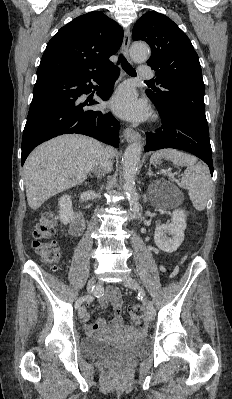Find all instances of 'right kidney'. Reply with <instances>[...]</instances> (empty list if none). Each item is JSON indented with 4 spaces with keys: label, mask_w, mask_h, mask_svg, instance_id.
Returning <instances> with one entry per match:
<instances>
[{
    "label": "right kidney",
    "mask_w": 232,
    "mask_h": 399,
    "mask_svg": "<svg viewBox=\"0 0 232 399\" xmlns=\"http://www.w3.org/2000/svg\"><path fill=\"white\" fill-rule=\"evenodd\" d=\"M59 215L62 223H70L73 217V207L71 196H62L59 200Z\"/></svg>",
    "instance_id": "right-kidney-1"
}]
</instances>
